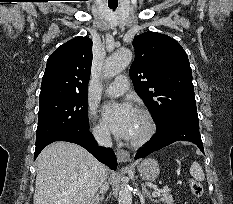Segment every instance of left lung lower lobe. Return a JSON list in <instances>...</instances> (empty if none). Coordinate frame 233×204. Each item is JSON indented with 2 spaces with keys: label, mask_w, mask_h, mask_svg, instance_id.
I'll list each match as a JSON object with an SVG mask.
<instances>
[{
  "label": "left lung lower lobe",
  "mask_w": 233,
  "mask_h": 204,
  "mask_svg": "<svg viewBox=\"0 0 233 204\" xmlns=\"http://www.w3.org/2000/svg\"><path fill=\"white\" fill-rule=\"evenodd\" d=\"M156 134L135 154V159L146 157L176 141H189L204 151L199 133L198 119L172 118L166 123H156Z\"/></svg>",
  "instance_id": "1"
}]
</instances>
